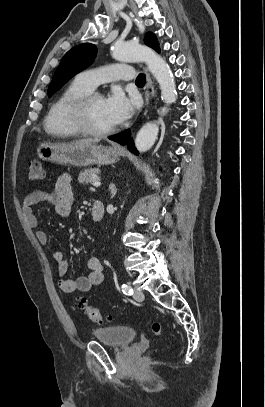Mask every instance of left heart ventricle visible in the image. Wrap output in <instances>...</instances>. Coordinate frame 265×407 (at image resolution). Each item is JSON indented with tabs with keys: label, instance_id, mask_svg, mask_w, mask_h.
<instances>
[{
	"label": "left heart ventricle",
	"instance_id": "1",
	"mask_svg": "<svg viewBox=\"0 0 265 407\" xmlns=\"http://www.w3.org/2000/svg\"><path fill=\"white\" fill-rule=\"evenodd\" d=\"M88 123L95 130H107L114 127L105 108L104 99L94 100L88 109Z\"/></svg>",
	"mask_w": 265,
	"mask_h": 407
}]
</instances>
